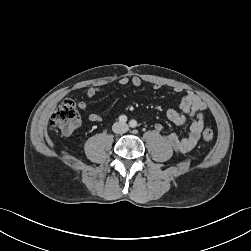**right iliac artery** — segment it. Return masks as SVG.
I'll return each instance as SVG.
<instances>
[{
    "label": "right iliac artery",
    "mask_w": 251,
    "mask_h": 251,
    "mask_svg": "<svg viewBox=\"0 0 251 251\" xmlns=\"http://www.w3.org/2000/svg\"><path fill=\"white\" fill-rule=\"evenodd\" d=\"M119 121L122 122V123H125L127 121V117L125 115H121L119 117Z\"/></svg>",
    "instance_id": "right-iliac-artery-1"
}]
</instances>
